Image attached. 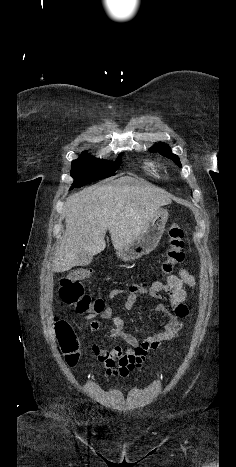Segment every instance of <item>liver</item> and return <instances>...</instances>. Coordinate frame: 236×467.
<instances>
[{"mask_svg": "<svg viewBox=\"0 0 236 467\" xmlns=\"http://www.w3.org/2000/svg\"><path fill=\"white\" fill-rule=\"evenodd\" d=\"M170 195L155 186L124 176L99 187H90L66 200V229L56 250L53 271L65 272L78 265L77 254L91 256L106 247L110 232L116 250L130 244Z\"/></svg>", "mask_w": 236, "mask_h": 467, "instance_id": "6515ba94", "label": "liver"}]
</instances>
